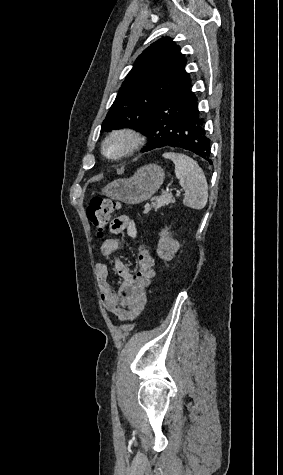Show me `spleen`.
Returning a JSON list of instances; mask_svg holds the SVG:
<instances>
[{"mask_svg": "<svg viewBox=\"0 0 283 475\" xmlns=\"http://www.w3.org/2000/svg\"><path fill=\"white\" fill-rule=\"evenodd\" d=\"M163 158L172 160L175 166V176L185 192L184 206L193 210L205 208L208 202V184L197 162L185 154H175V152H166Z\"/></svg>", "mask_w": 283, "mask_h": 475, "instance_id": "3e777b00", "label": "spleen"}]
</instances>
